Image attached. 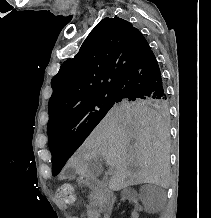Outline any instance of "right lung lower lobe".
<instances>
[{"label": "right lung lower lobe", "mask_w": 211, "mask_h": 218, "mask_svg": "<svg viewBox=\"0 0 211 218\" xmlns=\"http://www.w3.org/2000/svg\"><path fill=\"white\" fill-rule=\"evenodd\" d=\"M113 92L123 98H167L161 72L152 51L119 80Z\"/></svg>", "instance_id": "right-lung-lower-lobe-1"}]
</instances>
